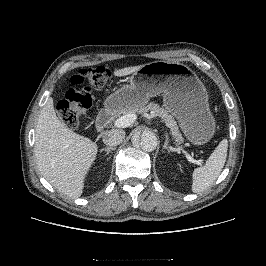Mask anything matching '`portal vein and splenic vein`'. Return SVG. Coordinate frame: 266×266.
<instances>
[{
  "mask_svg": "<svg viewBox=\"0 0 266 266\" xmlns=\"http://www.w3.org/2000/svg\"><path fill=\"white\" fill-rule=\"evenodd\" d=\"M136 120L135 114H128L121 116L117 120H115L114 125L118 128H126L129 127L134 121ZM183 153L185 154L186 158L189 162L202 166V162L200 160H195L189 153L183 150Z\"/></svg>",
  "mask_w": 266,
  "mask_h": 266,
  "instance_id": "obj_1",
  "label": "portal vein and splenic vein"
}]
</instances>
